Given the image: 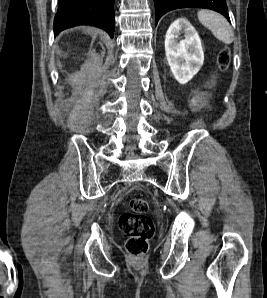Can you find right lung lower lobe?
<instances>
[{
    "label": "right lung lower lobe",
    "mask_w": 267,
    "mask_h": 298,
    "mask_svg": "<svg viewBox=\"0 0 267 298\" xmlns=\"http://www.w3.org/2000/svg\"><path fill=\"white\" fill-rule=\"evenodd\" d=\"M114 0H58L54 34L79 25H91L114 33Z\"/></svg>",
    "instance_id": "1"
}]
</instances>
